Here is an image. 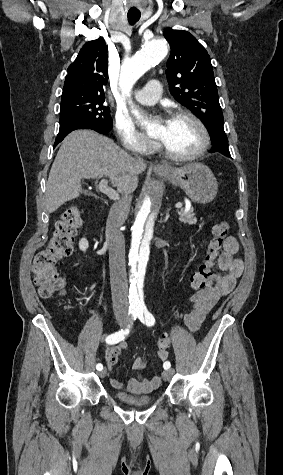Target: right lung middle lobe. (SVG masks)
I'll use <instances>...</instances> for the list:
<instances>
[{"instance_id":"dd1d6c3e","label":"right lung middle lobe","mask_w":283,"mask_h":475,"mask_svg":"<svg viewBox=\"0 0 283 475\" xmlns=\"http://www.w3.org/2000/svg\"><path fill=\"white\" fill-rule=\"evenodd\" d=\"M104 95H62L60 124L83 121L95 127L112 129L110 109L104 105Z\"/></svg>"}]
</instances>
